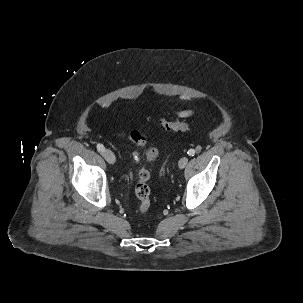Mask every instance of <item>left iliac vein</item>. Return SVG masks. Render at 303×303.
I'll return each mask as SVG.
<instances>
[{"instance_id": "4c4485c4", "label": "left iliac vein", "mask_w": 303, "mask_h": 303, "mask_svg": "<svg viewBox=\"0 0 303 303\" xmlns=\"http://www.w3.org/2000/svg\"><path fill=\"white\" fill-rule=\"evenodd\" d=\"M187 163H188V157H182V158L179 160V163H178L179 168H180V169L185 168V166L187 165Z\"/></svg>"}]
</instances>
